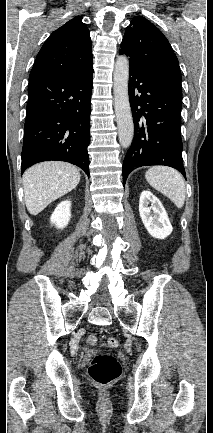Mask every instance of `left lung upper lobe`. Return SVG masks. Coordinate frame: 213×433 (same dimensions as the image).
Here are the masks:
<instances>
[{"label":"left lung upper lobe","instance_id":"obj_1","mask_svg":"<svg viewBox=\"0 0 213 433\" xmlns=\"http://www.w3.org/2000/svg\"><path fill=\"white\" fill-rule=\"evenodd\" d=\"M120 54L149 78L182 93L179 62L163 33L150 21L136 16L124 34Z\"/></svg>","mask_w":213,"mask_h":433}]
</instances>
